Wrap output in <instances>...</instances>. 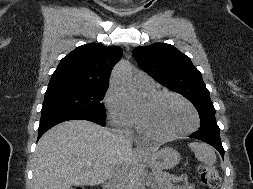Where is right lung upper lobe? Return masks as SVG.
I'll use <instances>...</instances> for the list:
<instances>
[{"label": "right lung upper lobe", "mask_w": 253, "mask_h": 189, "mask_svg": "<svg viewBox=\"0 0 253 189\" xmlns=\"http://www.w3.org/2000/svg\"><path fill=\"white\" fill-rule=\"evenodd\" d=\"M122 49L90 43L64 57L52 74L48 88L62 86H109V75L120 60Z\"/></svg>", "instance_id": "cb5924a9"}]
</instances>
